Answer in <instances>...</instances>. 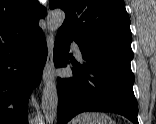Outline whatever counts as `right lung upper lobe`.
I'll return each mask as SVG.
<instances>
[{"label":"right lung upper lobe","mask_w":156,"mask_h":124,"mask_svg":"<svg viewBox=\"0 0 156 124\" xmlns=\"http://www.w3.org/2000/svg\"><path fill=\"white\" fill-rule=\"evenodd\" d=\"M45 14L37 0H0V43L33 34Z\"/></svg>","instance_id":"obj_1"}]
</instances>
